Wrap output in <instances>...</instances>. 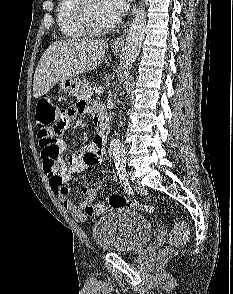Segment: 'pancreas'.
Masks as SVG:
<instances>
[{"label": "pancreas", "instance_id": "obj_1", "mask_svg": "<svg viewBox=\"0 0 233 294\" xmlns=\"http://www.w3.org/2000/svg\"><path fill=\"white\" fill-rule=\"evenodd\" d=\"M94 89L90 86L88 81H84L81 85L79 99H90L93 96Z\"/></svg>", "mask_w": 233, "mask_h": 294}]
</instances>
